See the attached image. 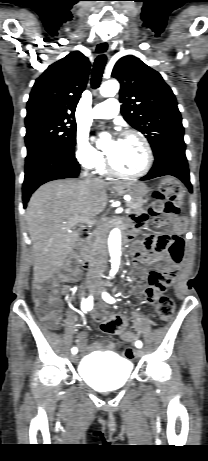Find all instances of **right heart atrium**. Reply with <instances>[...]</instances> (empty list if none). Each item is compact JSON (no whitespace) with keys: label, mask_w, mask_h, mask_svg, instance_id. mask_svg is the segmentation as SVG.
I'll list each match as a JSON object with an SVG mask.
<instances>
[{"label":"right heart atrium","mask_w":208,"mask_h":461,"mask_svg":"<svg viewBox=\"0 0 208 461\" xmlns=\"http://www.w3.org/2000/svg\"><path fill=\"white\" fill-rule=\"evenodd\" d=\"M75 155L78 163L87 170L100 168L103 163L102 153L83 134L77 136Z\"/></svg>","instance_id":"1"}]
</instances>
